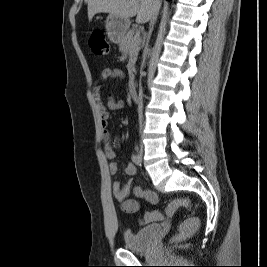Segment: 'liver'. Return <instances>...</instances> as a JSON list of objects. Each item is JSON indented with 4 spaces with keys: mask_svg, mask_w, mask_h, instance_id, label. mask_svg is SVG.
<instances>
[{
    "mask_svg": "<svg viewBox=\"0 0 267 267\" xmlns=\"http://www.w3.org/2000/svg\"><path fill=\"white\" fill-rule=\"evenodd\" d=\"M88 4V19L97 13H109L121 18L136 16L137 23H146L159 12L160 0H85Z\"/></svg>",
    "mask_w": 267,
    "mask_h": 267,
    "instance_id": "6515ba94",
    "label": "liver"
}]
</instances>
